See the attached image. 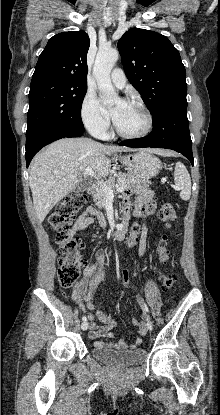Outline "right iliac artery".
<instances>
[{
	"label": "right iliac artery",
	"instance_id": "1",
	"mask_svg": "<svg viewBox=\"0 0 220 415\" xmlns=\"http://www.w3.org/2000/svg\"><path fill=\"white\" fill-rule=\"evenodd\" d=\"M86 320H87L86 316H83L82 321H86Z\"/></svg>",
	"mask_w": 220,
	"mask_h": 415
}]
</instances>
